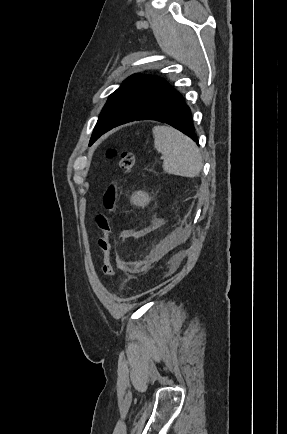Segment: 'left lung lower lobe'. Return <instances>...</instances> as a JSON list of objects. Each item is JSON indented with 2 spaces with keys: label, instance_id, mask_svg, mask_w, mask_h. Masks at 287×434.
Segmentation results:
<instances>
[{
  "label": "left lung lower lobe",
  "instance_id": "1",
  "mask_svg": "<svg viewBox=\"0 0 287 434\" xmlns=\"http://www.w3.org/2000/svg\"><path fill=\"white\" fill-rule=\"evenodd\" d=\"M135 120H157L180 130L198 143L190 108L177 91L133 114L125 123ZM124 124V123H123Z\"/></svg>",
  "mask_w": 287,
  "mask_h": 434
}]
</instances>
